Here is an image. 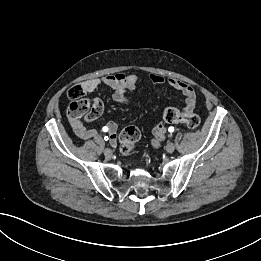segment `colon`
<instances>
[{
    "instance_id": "colon-1",
    "label": "colon",
    "mask_w": 261,
    "mask_h": 261,
    "mask_svg": "<svg viewBox=\"0 0 261 261\" xmlns=\"http://www.w3.org/2000/svg\"><path fill=\"white\" fill-rule=\"evenodd\" d=\"M85 95L81 85L77 84L68 90V97L73 100L69 111L73 116H84L87 120L97 119L103 111L101 103L96 100L83 99ZM163 119L166 123H184L187 127L194 129L200 125V117L195 113H183L174 107L164 111ZM140 131L135 126L124 128L119 136V151L121 154H129L140 139Z\"/></svg>"
}]
</instances>
